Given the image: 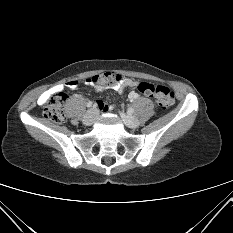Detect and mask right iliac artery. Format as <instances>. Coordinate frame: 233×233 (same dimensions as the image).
Here are the masks:
<instances>
[{
  "label": "right iliac artery",
  "mask_w": 233,
  "mask_h": 233,
  "mask_svg": "<svg viewBox=\"0 0 233 233\" xmlns=\"http://www.w3.org/2000/svg\"><path fill=\"white\" fill-rule=\"evenodd\" d=\"M92 105H93V102H92V101H89V102L87 103V107H92Z\"/></svg>",
  "instance_id": "right-iliac-artery-1"
}]
</instances>
